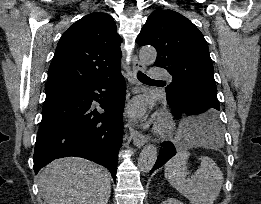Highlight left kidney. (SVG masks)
Listing matches in <instances>:
<instances>
[{
	"instance_id": "5707ae66",
	"label": "left kidney",
	"mask_w": 261,
	"mask_h": 204,
	"mask_svg": "<svg viewBox=\"0 0 261 204\" xmlns=\"http://www.w3.org/2000/svg\"><path fill=\"white\" fill-rule=\"evenodd\" d=\"M161 204H183V203L175 198H168L165 201H163Z\"/></svg>"
}]
</instances>
